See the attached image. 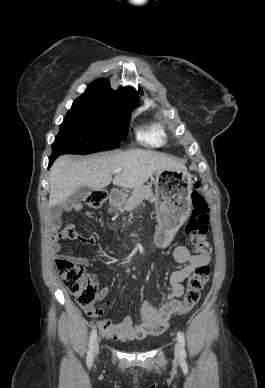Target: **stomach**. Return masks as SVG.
<instances>
[{"mask_svg":"<svg viewBox=\"0 0 265 388\" xmlns=\"http://www.w3.org/2000/svg\"><path fill=\"white\" fill-rule=\"evenodd\" d=\"M155 209L159 220L157 241L165 246L186 221L191 210V175L186 169L167 168L155 174Z\"/></svg>","mask_w":265,"mask_h":388,"instance_id":"1","label":"stomach"}]
</instances>
